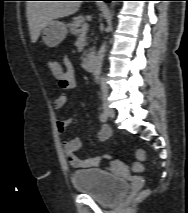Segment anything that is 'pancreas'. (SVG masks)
Masks as SVG:
<instances>
[{
	"instance_id": "1",
	"label": "pancreas",
	"mask_w": 188,
	"mask_h": 213,
	"mask_svg": "<svg viewBox=\"0 0 188 213\" xmlns=\"http://www.w3.org/2000/svg\"><path fill=\"white\" fill-rule=\"evenodd\" d=\"M84 24H86L84 17L77 16L74 17L72 21L68 24V29L73 35H79L81 33L80 30ZM84 55H86V53H84ZM82 60L85 61L86 58L82 57Z\"/></svg>"
}]
</instances>
